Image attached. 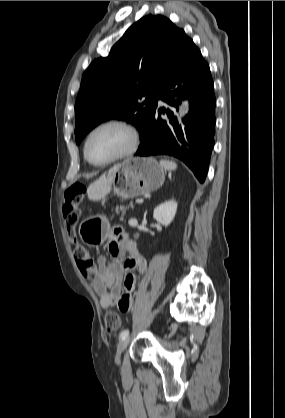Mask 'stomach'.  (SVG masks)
Here are the masks:
<instances>
[{
	"label": "stomach",
	"mask_w": 285,
	"mask_h": 418,
	"mask_svg": "<svg viewBox=\"0 0 285 418\" xmlns=\"http://www.w3.org/2000/svg\"><path fill=\"white\" fill-rule=\"evenodd\" d=\"M165 170L149 157H130L118 164L113 172V191L124 199L149 193L162 186ZM110 224L103 215H95L81 222L79 236L86 244L98 245L108 237Z\"/></svg>",
	"instance_id": "obj_1"
}]
</instances>
